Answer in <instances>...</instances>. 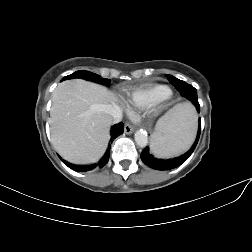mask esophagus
<instances>
[{
	"label": "esophagus",
	"instance_id": "obj_1",
	"mask_svg": "<svg viewBox=\"0 0 252 252\" xmlns=\"http://www.w3.org/2000/svg\"><path fill=\"white\" fill-rule=\"evenodd\" d=\"M134 131L133 127L130 125V124H125V127H124V132L126 134H132Z\"/></svg>",
	"mask_w": 252,
	"mask_h": 252
}]
</instances>
